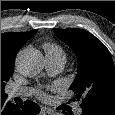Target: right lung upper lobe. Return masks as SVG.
Wrapping results in <instances>:
<instances>
[{
    "label": "right lung upper lobe",
    "instance_id": "1",
    "mask_svg": "<svg viewBox=\"0 0 115 115\" xmlns=\"http://www.w3.org/2000/svg\"><path fill=\"white\" fill-rule=\"evenodd\" d=\"M37 30L28 32H7L1 34V88L14 72V61L20 47L29 40ZM7 98L1 93V101Z\"/></svg>",
    "mask_w": 115,
    "mask_h": 115
}]
</instances>
